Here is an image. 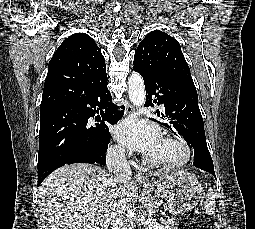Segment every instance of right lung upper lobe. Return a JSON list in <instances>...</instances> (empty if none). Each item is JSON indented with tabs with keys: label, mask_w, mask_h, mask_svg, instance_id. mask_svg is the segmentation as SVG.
I'll return each instance as SVG.
<instances>
[{
	"label": "right lung upper lobe",
	"mask_w": 255,
	"mask_h": 229,
	"mask_svg": "<svg viewBox=\"0 0 255 229\" xmlns=\"http://www.w3.org/2000/svg\"><path fill=\"white\" fill-rule=\"evenodd\" d=\"M105 71L104 57L94 40L85 33L71 35L49 62L40 111L78 100Z\"/></svg>",
	"instance_id": "1"
}]
</instances>
